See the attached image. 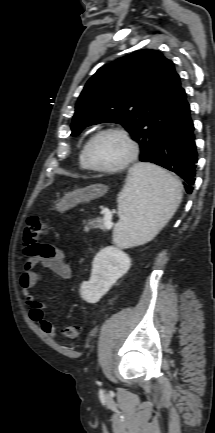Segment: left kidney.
<instances>
[{"label":"left kidney","mask_w":215,"mask_h":433,"mask_svg":"<svg viewBox=\"0 0 215 433\" xmlns=\"http://www.w3.org/2000/svg\"><path fill=\"white\" fill-rule=\"evenodd\" d=\"M130 266L131 259L120 249L113 246L101 249L92 262L90 280L81 284L82 299L88 303L98 302Z\"/></svg>","instance_id":"left-kidney-1"}]
</instances>
